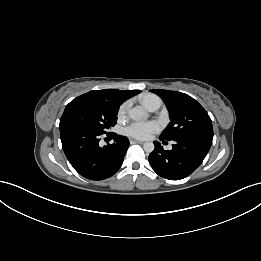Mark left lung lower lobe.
I'll use <instances>...</instances> for the list:
<instances>
[{"label": "left lung lower lobe", "mask_w": 261, "mask_h": 261, "mask_svg": "<svg viewBox=\"0 0 261 261\" xmlns=\"http://www.w3.org/2000/svg\"><path fill=\"white\" fill-rule=\"evenodd\" d=\"M160 140L166 142L163 138ZM172 150H164L155 141V149L149 155L154 171L169 180H180L196 170L206 157L212 140L205 138H180L173 140Z\"/></svg>", "instance_id": "1"}]
</instances>
